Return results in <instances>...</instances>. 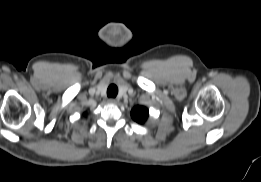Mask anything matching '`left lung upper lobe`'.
Wrapping results in <instances>:
<instances>
[{
  "mask_svg": "<svg viewBox=\"0 0 261 182\" xmlns=\"http://www.w3.org/2000/svg\"><path fill=\"white\" fill-rule=\"evenodd\" d=\"M133 120L138 123H144L148 118V109L143 106H136L131 111Z\"/></svg>",
  "mask_w": 261,
  "mask_h": 182,
  "instance_id": "obj_1",
  "label": "left lung upper lobe"
}]
</instances>
